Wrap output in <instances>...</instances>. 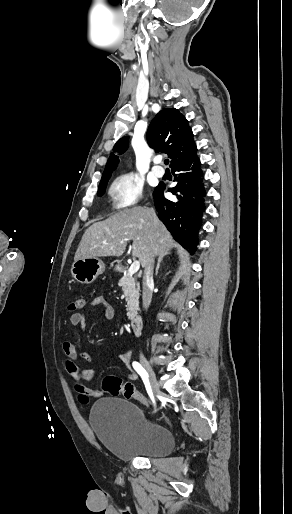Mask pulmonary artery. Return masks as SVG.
Here are the masks:
<instances>
[{
	"label": "pulmonary artery",
	"instance_id": "obj_1",
	"mask_svg": "<svg viewBox=\"0 0 292 514\" xmlns=\"http://www.w3.org/2000/svg\"><path fill=\"white\" fill-rule=\"evenodd\" d=\"M154 175L157 176V177H162L163 176V172L160 171V170H154L153 171Z\"/></svg>",
	"mask_w": 292,
	"mask_h": 514
}]
</instances>
